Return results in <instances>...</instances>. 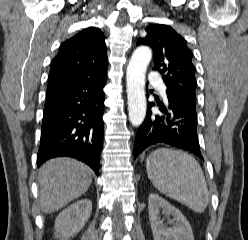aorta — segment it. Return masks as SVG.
<instances>
[{"mask_svg": "<svg viewBox=\"0 0 248 240\" xmlns=\"http://www.w3.org/2000/svg\"><path fill=\"white\" fill-rule=\"evenodd\" d=\"M152 58L148 47L137 48L127 67V97L129 120L135 127L140 126L146 116L145 74Z\"/></svg>", "mask_w": 248, "mask_h": 240, "instance_id": "aorta-1", "label": "aorta"}]
</instances>
